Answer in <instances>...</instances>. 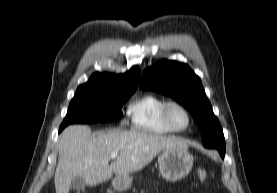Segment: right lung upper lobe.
Segmentation results:
<instances>
[{"label":"right lung upper lobe","instance_id":"1","mask_svg":"<svg viewBox=\"0 0 277 193\" xmlns=\"http://www.w3.org/2000/svg\"><path fill=\"white\" fill-rule=\"evenodd\" d=\"M140 78V69L135 66L125 74L95 73L86 84L78 87L97 92H134Z\"/></svg>","mask_w":277,"mask_h":193}]
</instances>
